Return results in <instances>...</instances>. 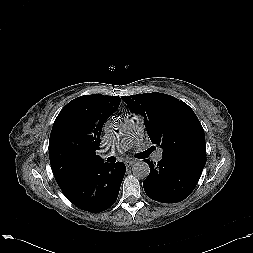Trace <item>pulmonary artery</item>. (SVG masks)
<instances>
[{
	"label": "pulmonary artery",
	"instance_id": "obj_1",
	"mask_svg": "<svg viewBox=\"0 0 253 253\" xmlns=\"http://www.w3.org/2000/svg\"><path fill=\"white\" fill-rule=\"evenodd\" d=\"M125 134L124 136L110 145L106 150L101 153L103 158L115 156L128 150L131 146L138 143L143 137V124L139 117H126L125 119ZM163 158V152L158 149L154 153V159L160 161Z\"/></svg>",
	"mask_w": 253,
	"mask_h": 253
}]
</instances>
